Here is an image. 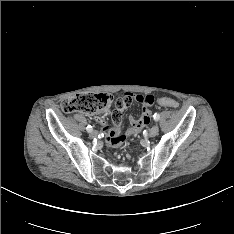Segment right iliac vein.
<instances>
[{
	"label": "right iliac vein",
	"instance_id": "obj_1",
	"mask_svg": "<svg viewBox=\"0 0 234 234\" xmlns=\"http://www.w3.org/2000/svg\"><path fill=\"white\" fill-rule=\"evenodd\" d=\"M98 136V132L97 131H92V132H90V137H92V138H96Z\"/></svg>",
	"mask_w": 234,
	"mask_h": 234
}]
</instances>
